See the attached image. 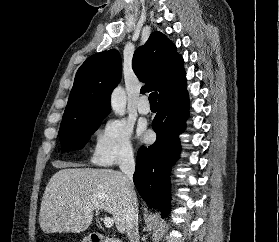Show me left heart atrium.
Wrapping results in <instances>:
<instances>
[{
    "label": "left heart atrium",
    "mask_w": 279,
    "mask_h": 242,
    "mask_svg": "<svg viewBox=\"0 0 279 242\" xmlns=\"http://www.w3.org/2000/svg\"><path fill=\"white\" fill-rule=\"evenodd\" d=\"M140 134L143 136V137H146L147 136V132H146V130H145V127L144 126H142L141 128H140Z\"/></svg>",
    "instance_id": "39dd6f15"
}]
</instances>
